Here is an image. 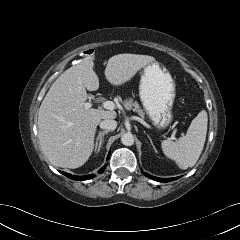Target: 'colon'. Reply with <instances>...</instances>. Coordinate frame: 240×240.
<instances>
[{
	"label": "colon",
	"mask_w": 240,
	"mask_h": 240,
	"mask_svg": "<svg viewBox=\"0 0 240 240\" xmlns=\"http://www.w3.org/2000/svg\"><path fill=\"white\" fill-rule=\"evenodd\" d=\"M82 55L84 57H91L94 55V50L93 49H87L85 51H83Z\"/></svg>",
	"instance_id": "obj_1"
}]
</instances>
